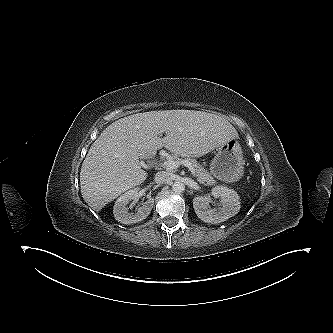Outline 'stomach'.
<instances>
[{
  "label": "stomach",
  "instance_id": "obj_1",
  "mask_svg": "<svg viewBox=\"0 0 333 333\" xmlns=\"http://www.w3.org/2000/svg\"><path fill=\"white\" fill-rule=\"evenodd\" d=\"M244 164L242 148L232 139L218 148L210 164V172L221 181L233 183L243 176Z\"/></svg>",
  "mask_w": 333,
  "mask_h": 333
}]
</instances>
